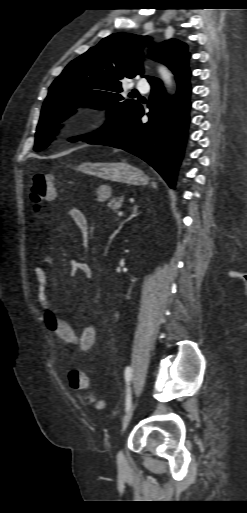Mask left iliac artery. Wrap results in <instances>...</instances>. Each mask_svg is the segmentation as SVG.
<instances>
[{
    "mask_svg": "<svg viewBox=\"0 0 247 513\" xmlns=\"http://www.w3.org/2000/svg\"><path fill=\"white\" fill-rule=\"evenodd\" d=\"M132 368L130 366H127L125 368V372H124V375H125V380H126V384H127V389H126V411L129 410L130 406H131V392H130V380L132 378Z\"/></svg>",
    "mask_w": 247,
    "mask_h": 513,
    "instance_id": "44dca946",
    "label": "left iliac artery"
}]
</instances>
